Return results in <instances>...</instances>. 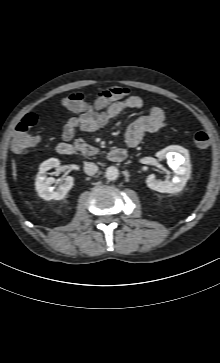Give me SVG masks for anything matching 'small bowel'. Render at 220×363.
I'll return each mask as SVG.
<instances>
[{
	"mask_svg": "<svg viewBox=\"0 0 220 363\" xmlns=\"http://www.w3.org/2000/svg\"><path fill=\"white\" fill-rule=\"evenodd\" d=\"M144 106L140 96L132 95L123 100L106 105H85L79 115L70 118L62 127V138L70 141L75 131L94 132L105 126L111 119L127 110H139ZM166 126L165 112L160 107H152L149 112L134 121L128 128L125 142L129 147L137 146L147 133H155Z\"/></svg>",
	"mask_w": 220,
	"mask_h": 363,
	"instance_id": "1",
	"label": "small bowel"
}]
</instances>
